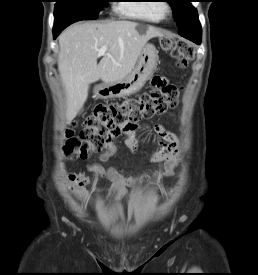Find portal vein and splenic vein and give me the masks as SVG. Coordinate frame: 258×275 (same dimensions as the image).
<instances>
[{
	"label": "portal vein and splenic vein",
	"instance_id": "18ae733b",
	"mask_svg": "<svg viewBox=\"0 0 258 275\" xmlns=\"http://www.w3.org/2000/svg\"><path fill=\"white\" fill-rule=\"evenodd\" d=\"M107 52V47L106 46H102L99 51H98V55L99 56H102V55H105Z\"/></svg>",
	"mask_w": 258,
	"mask_h": 275
}]
</instances>
